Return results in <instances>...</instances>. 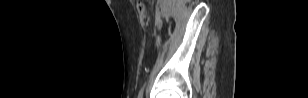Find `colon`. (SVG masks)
Instances as JSON below:
<instances>
[{
	"label": "colon",
	"mask_w": 308,
	"mask_h": 98,
	"mask_svg": "<svg viewBox=\"0 0 308 98\" xmlns=\"http://www.w3.org/2000/svg\"><path fill=\"white\" fill-rule=\"evenodd\" d=\"M137 9H138V13H139L141 22L144 25H147L149 23V15L146 12L144 3L143 2H138Z\"/></svg>",
	"instance_id": "1"
}]
</instances>
